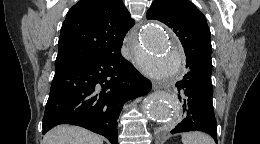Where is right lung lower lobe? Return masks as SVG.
Returning <instances> with one entry per match:
<instances>
[{
  "instance_id": "right-lung-lower-lobe-1",
  "label": "right lung lower lobe",
  "mask_w": 260,
  "mask_h": 144,
  "mask_svg": "<svg viewBox=\"0 0 260 144\" xmlns=\"http://www.w3.org/2000/svg\"><path fill=\"white\" fill-rule=\"evenodd\" d=\"M150 89L151 82L121 51L55 69L43 134L58 124L69 123L118 144L117 119L124 103Z\"/></svg>"
}]
</instances>
